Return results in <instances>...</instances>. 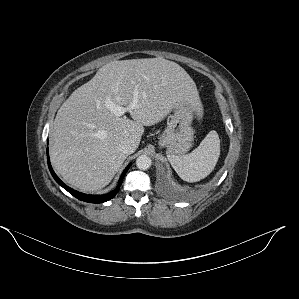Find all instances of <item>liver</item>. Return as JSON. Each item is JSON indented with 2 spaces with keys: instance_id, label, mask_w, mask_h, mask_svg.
Wrapping results in <instances>:
<instances>
[{
  "instance_id": "6515ba94",
  "label": "liver",
  "mask_w": 299,
  "mask_h": 299,
  "mask_svg": "<svg viewBox=\"0 0 299 299\" xmlns=\"http://www.w3.org/2000/svg\"><path fill=\"white\" fill-rule=\"evenodd\" d=\"M135 93L137 105L129 110L133 120L109 108L108 102L127 107ZM185 101L201 115L195 82L173 61L157 57L105 64L57 112L50 143L55 171L80 191L102 189L128 156L120 150L121 141L132 139L138 147L144 126L160 122Z\"/></svg>"
}]
</instances>
